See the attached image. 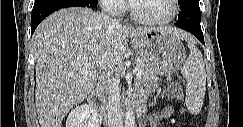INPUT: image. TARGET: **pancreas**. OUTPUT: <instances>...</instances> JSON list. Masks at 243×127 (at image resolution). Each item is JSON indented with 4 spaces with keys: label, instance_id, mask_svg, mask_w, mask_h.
Masks as SVG:
<instances>
[{
    "label": "pancreas",
    "instance_id": "pancreas-1",
    "mask_svg": "<svg viewBox=\"0 0 243 127\" xmlns=\"http://www.w3.org/2000/svg\"><path fill=\"white\" fill-rule=\"evenodd\" d=\"M136 67L142 70V74L140 75L142 79L157 82L158 77L150 68V66L147 65L143 60L137 61Z\"/></svg>",
    "mask_w": 243,
    "mask_h": 127
}]
</instances>
